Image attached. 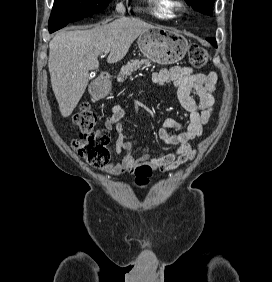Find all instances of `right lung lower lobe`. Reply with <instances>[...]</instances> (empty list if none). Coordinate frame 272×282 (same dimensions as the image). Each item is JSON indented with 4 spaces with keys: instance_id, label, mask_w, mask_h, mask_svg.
<instances>
[{
    "instance_id": "1",
    "label": "right lung lower lobe",
    "mask_w": 272,
    "mask_h": 282,
    "mask_svg": "<svg viewBox=\"0 0 272 282\" xmlns=\"http://www.w3.org/2000/svg\"><path fill=\"white\" fill-rule=\"evenodd\" d=\"M91 15H92V14H91ZM87 16H90V15H82V16L75 17V18L70 19V20H63V21L55 22V23L49 25V27H48V28H49V32H50V33H53V32H55V31H57V30H59V29L65 27L69 22H75V21H78V20H80V19H83V18H85V17H87Z\"/></svg>"
}]
</instances>
